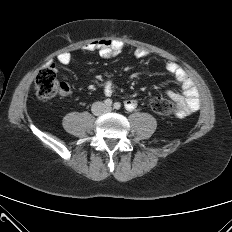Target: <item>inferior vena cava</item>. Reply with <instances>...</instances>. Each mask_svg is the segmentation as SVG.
Masks as SVG:
<instances>
[{
    "mask_svg": "<svg viewBox=\"0 0 232 232\" xmlns=\"http://www.w3.org/2000/svg\"><path fill=\"white\" fill-rule=\"evenodd\" d=\"M91 110L94 115H101L106 112V106L103 102H94Z\"/></svg>",
    "mask_w": 232,
    "mask_h": 232,
    "instance_id": "1",
    "label": "inferior vena cava"
}]
</instances>
